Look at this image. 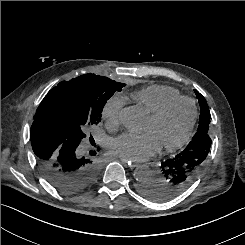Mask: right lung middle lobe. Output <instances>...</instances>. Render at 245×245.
<instances>
[{"mask_svg": "<svg viewBox=\"0 0 245 245\" xmlns=\"http://www.w3.org/2000/svg\"><path fill=\"white\" fill-rule=\"evenodd\" d=\"M124 86V83L91 73L60 82L43 100L41 118L80 143L88 127L101 121L107 100Z\"/></svg>", "mask_w": 245, "mask_h": 245, "instance_id": "1", "label": "right lung middle lobe"}]
</instances>
